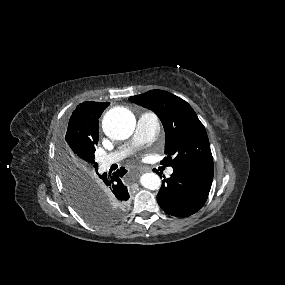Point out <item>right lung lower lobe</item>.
Returning <instances> with one entry per match:
<instances>
[{
    "label": "right lung lower lobe",
    "instance_id": "obj_1",
    "mask_svg": "<svg viewBox=\"0 0 285 285\" xmlns=\"http://www.w3.org/2000/svg\"><path fill=\"white\" fill-rule=\"evenodd\" d=\"M126 172L127 171L122 168L120 171L118 170L112 175L107 176L106 173L103 175L98 174L96 170L97 179H94L96 187L106 194H110L116 202L120 203L124 207L129 199V194L127 187L122 183L121 178Z\"/></svg>",
    "mask_w": 285,
    "mask_h": 285
}]
</instances>
